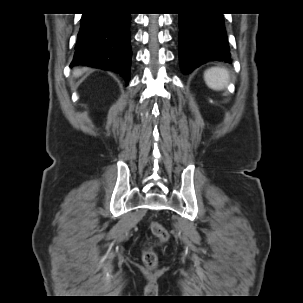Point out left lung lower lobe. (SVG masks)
I'll use <instances>...</instances> for the list:
<instances>
[{
    "label": "left lung lower lobe",
    "mask_w": 303,
    "mask_h": 303,
    "mask_svg": "<svg viewBox=\"0 0 303 303\" xmlns=\"http://www.w3.org/2000/svg\"><path fill=\"white\" fill-rule=\"evenodd\" d=\"M178 23L179 60L184 74L208 61L231 63L221 13L179 14Z\"/></svg>",
    "instance_id": "obj_1"
}]
</instances>
